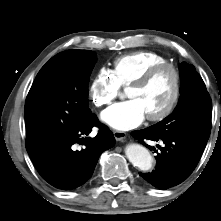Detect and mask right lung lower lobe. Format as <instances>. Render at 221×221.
Returning <instances> with one entry per match:
<instances>
[{
	"mask_svg": "<svg viewBox=\"0 0 221 221\" xmlns=\"http://www.w3.org/2000/svg\"><path fill=\"white\" fill-rule=\"evenodd\" d=\"M94 126L100 128L98 134L87 137ZM76 143L84 147L76 150ZM114 144L113 133L91 114L72 135L29 139L26 149L45 181L58 189L71 190L92 176L100 154Z\"/></svg>",
	"mask_w": 221,
	"mask_h": 221,
	"instance_id": "98d812e1",
	"label": "right lung lower lobe"
}]
</instances>
